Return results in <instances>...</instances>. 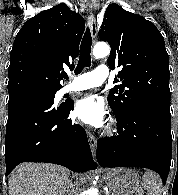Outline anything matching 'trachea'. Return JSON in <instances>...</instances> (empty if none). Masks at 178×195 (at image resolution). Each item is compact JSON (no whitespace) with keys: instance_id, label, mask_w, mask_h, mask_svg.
I'll use <instances>...</instances> for the list:
<instances>
[{"instance_id":"1","label":"trachea","mask_w":178,"mask_h":195,"mask_svg":"<svg viewBox=\"0 0 178 195\" xmlns=\"http://www.w3.org/2000/svg\"><path fill=\"white\" fill-rule=\"evenodd\" d=\"M91 45H92V37L90 33V29L87 28L86 32L83 36L81 46H80V56L77 67L75 69V74H79L84 67H90L91 65ZM64 78L68 79L67 74L63 76Z\"/></svg>"}]
</instances>
